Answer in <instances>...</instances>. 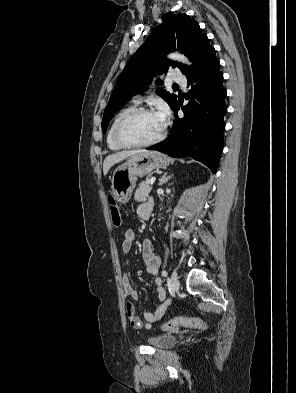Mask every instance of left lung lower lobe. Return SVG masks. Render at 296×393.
<instances>
[{
  "instance_id": "obj_1",
  "label": "left lung lower lobe",
  "mask_w": 296,
  "mask_h": 393,
  "mask_svg": "<svg viewBox=\"0 0 296 393\" xmlns=\"http://www.w3.org/2000/svg\"><path fill=\"white\" fill-rule=\"evenodd\" d=\"M219 67L214 49L196 71L187 77L191 89L186 96H194L199 103L191 99L182 108L184 118L178 117L177 103L173 110L175 120L170 135L163 142L148 147V150H157L177 158L190 156L204 163L213 173L216 172L223 149V117L227 110L224 101L226 91Z\"/></svg>"
}]
</instances>
